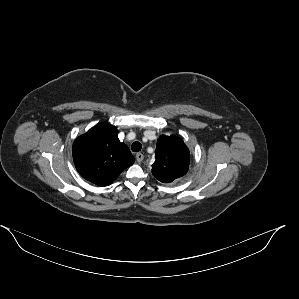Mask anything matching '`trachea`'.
I'll return each instance as SVG.
<instances>
[{"label":"trachea","instance_id":"3493384b","mask_svg":"<svg viewBox=\"0 0 299 299\" xmlns=\"http://www.w3.org/2000/svg\"><path fill=\"white\" fill-rule=\"evenodd\" d=\"M141 148H142V145L138 141H135L131 146V149L133 152H139L141 150Z\"/></svg>","mask_w":299,"mask_h":299}]
</instances>
